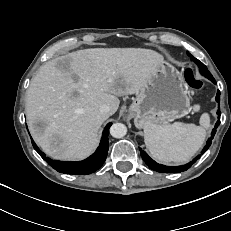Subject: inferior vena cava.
I'll return each mask as SVG.
<instances>
[{
    "mask_svg": "<svg viewBox=\"0 0 231 231\" xmlns=\"http://www.w3.org/2000/svg\"><path fill=\"white\" fill-rule=\"evenodd\" d=\"M99 111L102 115H104L105 117H109L111 116V109L110 106L107 104H103L100 106Z\"/></svg>",
    "mask_w": 231,
    "mask_h": 231,
    "instance_id": "602c4592",
    "label": "inferior vena cava"
}]
</instances>
